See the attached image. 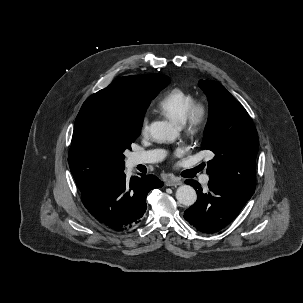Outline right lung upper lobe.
Instances as JSON below:
<instances>
[{
	"label": "right lung upper lobe",
	"instance_id": "right-lung-upper-lobe-1",
	"mask_svg": "<svg viewBox=\"0 0 303 303\" xmlns=\"http://www.w3.org/2000/svg\"><path fill=\"white\" fill-rule=\"evenodd\" d=\"M168 80V76L161 74L118 78L108 87L91 95L82 105L81 111L97 103H119L130 109L135 123H142L145 112L137 111L135 107H146L147 109L150 101L154 98L157 86L160 83H166ZM68 162L71 167H81L87 170L90 173L89 179L91 180L101 175L120 171L112 165L101 151L84 139V126L80 120V113L75 120Z\"/></svg>",
	"mask_w": 303,
	"mask_h": 303
}]
</instances>
